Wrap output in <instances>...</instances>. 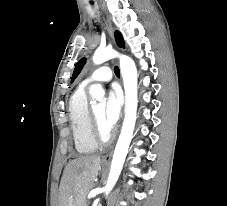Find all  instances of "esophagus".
Here are the masks:
<instances>
[{"instance_id": "obj_1", "label": "esophagus", "mask_w": 227, "mask_h": 206, "mask_svg": "<svg viewBox=\"0 0 227 206\" xmlns=\"http://www.w3.org/2000/svg\"><path fill=\"white\" fill-rule=\"evenodd\" d=\"M105 23H106V27L111 35V37H114V28H113V25H112V22L109 18V16H106V19H105ZM111 156H112V150L109 151L103 158L104 161H110L111 159Z\"/></svg>"}]
</instances>
